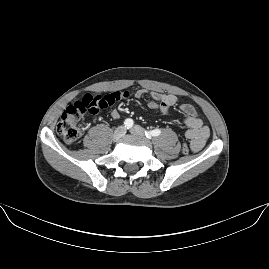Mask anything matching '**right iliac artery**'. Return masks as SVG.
Wrapping results in <instances>:
<instances>
[{"label":"right iliac artery","mask_w":269,"mask_h":269,"mask_svg":"<svg viewBox=\"0 0 269 269\" xmlns=\"http://www.w3.org/2000/svg\"><path fill=\"white\" fill-rule=\"evenodd\" d=\"M124 126L126 129H130L133 126V120L128 118L124 122Z\"/></svg>","instance_id":"right-iliac-artery-1"}]
</instances>
